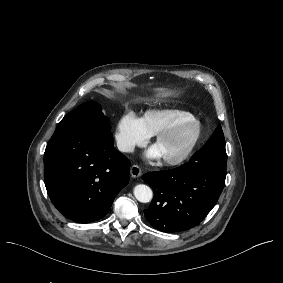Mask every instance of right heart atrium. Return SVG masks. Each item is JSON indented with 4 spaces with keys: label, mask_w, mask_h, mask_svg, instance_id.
I'll use <instances>...</instances> for the list:
<instances>
[{
    "label": "right heart atrium",
    "mask_w": 283,
    "mask_h": 283,
    "mask_svg": "<svg viewBox=\"0 0 283 283\" xmlns=\"http://www.w3.org/2000/svg\"><path fill=\"white\" fill-rule=\"evenodd\" d=\"M150 137L145 123L132 111L122 112L113 126V139L122 152H132L136 146L143 145Z\"/></svg>",
    "instance_id": "obj_1"
}]
</instances>
